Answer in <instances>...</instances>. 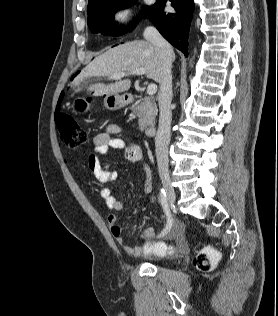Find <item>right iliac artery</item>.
Masks as SVG:
<instances>
[{"label": "right iliac artery", "instance_id": "obj_1", "mask_svg": "<svg viewBox=\"0 0 278 316\" xmlns=\"http://www.w3.org/2000/svg\"><path fill=\"white\" fill-rule=\"evenodd\" d=\"M160 203H161L162 208L167 216V224H166L165 229L159 234L158 237L166 235L170 231V229L173 225V219H172L170 209L168 206L166 192L163 188H161V190H160Z\"/></svg>", "mask_w": 278, "mask_h": 316}]
</instances>
